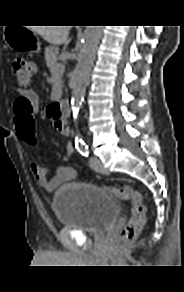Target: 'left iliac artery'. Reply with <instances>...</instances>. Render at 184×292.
I'll use <instances>...</instances> for the list:
<instances>
[{
    "mask_svg": "<svg viewBox=\"0 0 184 292\" xmlns=\"http://www.w3.org/2000/svg\"><path fill=\"white\" fill-rule=\"evenodd\" d=\"M78 151L81 155L88 157L89 156V149L87 145H82L79 147Z\"/></svg>",
    "mask_w": 184,
    "mask_h": 292,
    "instance_id": "1",
    "label": "left iliac artery"
}]
</instances>
